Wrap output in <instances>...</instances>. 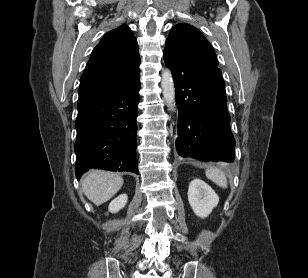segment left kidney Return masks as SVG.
<instances>
[{"instance_id": "5707ae66", "label": "left kidney", "mask_w": 308, "mask_h": 278, "mask_svg": "<svg viewBox=\"0 0 308 278\" xmlns=\"http://www.w3.org/2000/svg\"><path fill=\"white\" fill-rule=\"evenodd\" d=\"M188 201L193 212L200 218H206L218 205L219 197L215 191L201 179L189 184Z\"/></svg>"}]
</instances>
